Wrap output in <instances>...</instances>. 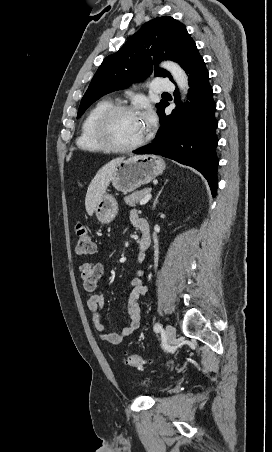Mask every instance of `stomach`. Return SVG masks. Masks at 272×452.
I'll use <instances>...</instances> for the list:
<instances>
[{"label":"stomach","instance_id":"1","mask_svg":"<svg viewBox=\"0 0 272 452\" xmlns=\"http://www.w3.org/2000/svg\"><path fill=\"white\" fill-rule=\"evenodd\" d=\"M165 169L164 161L154 155H130L123 159L114 169L110 182L113 187L126 194L148 184ZM95 215L100 223H110L118 213L116 199L104 193L98 200Z\"/></svg>","mask_w":272,"mask_h":452}]
</instances>
